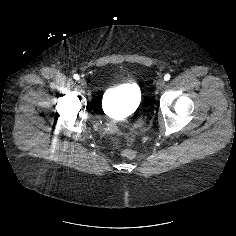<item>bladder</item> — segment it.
I'll use <instances>...</instances> for the list:
<instances>
[{"label":"bladder","mask_w":236,"mask_h":236,"mask_svg":"<svg viewBox=\"0 0 236 236\" xmlns=\"http://www.w3.org/2000/svg\"><path fill=\"white\" fill-rule=\"evenodd\" d=\"M142 92L136 83L126 82L107 88L103 94L102 107L109 112L119 113L135 110L141 104Z\"/></svg>","instance_id":"bladder-1"}]
</instances>
